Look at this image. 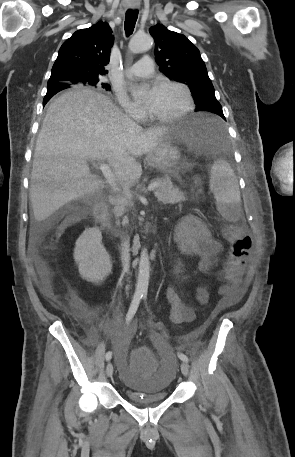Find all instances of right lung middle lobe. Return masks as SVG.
<instances>
[{
	"label": "right lung middle lobe",
	"mask_w": 295,
	"mask_h": 457,
	"mask_svg": "<svg viewBox=\"0 0 295 457\" xmlns=\"http://www.w3.org/2000/svg\"><path fill=\"white\" fill-rule=\"evenodd\" d=\"M89 85H93V86H96V85H100L102 88L106 89V90H111V87L110 85L106 84V83H101L100 82V79L99 78H91L88 83ZM68 88V87H67ZM66 89V88H65Z\"/></svg>",
	"instance_id": "obj_1"
}]
</instances>
